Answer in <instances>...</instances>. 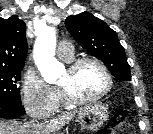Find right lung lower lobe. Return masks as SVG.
<instances>
[{
  "instance_id": "right-lung-lower-lobe-1",
  "label": "right lung lower lobe",
  "mask_w": 153,
  "mask_h": 134,
  "mask_svg": "<svg viewBox=\"0 0 153 134\" xmlns=\"http://www.w3.org/2000/svg\"><path fill=\"white\" fill-rule=\"evenodd\" d=\"M24 114L22 103H8L0 101V118L14 119Z\"/></svg>"
}]
</instances>
